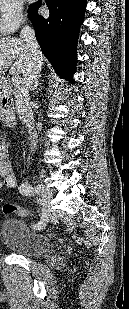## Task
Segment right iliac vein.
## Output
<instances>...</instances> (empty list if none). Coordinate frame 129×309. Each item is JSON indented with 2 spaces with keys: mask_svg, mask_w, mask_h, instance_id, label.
I'll return each mask as SVG.
<instances>
[{
  "mask_svg": "<svg viewBox=\"0 0 129 309\" xmlns=\"http://www.w3.org/2000/svg\"><path fill=\"white\" fill-rule=\"evenodd\" d=\"M36 192L40 195L42 203L44 205V212L46 214L45 221L42 223L39 229H44L47 225L49 218L51 216V209H50V201L52 198V193L49 189H47L44 185L38 184L36 186Z\"/></svg>",
  "mask_w": 129,
  "mask_h": 309,
  "instance_id": "right-iliac-vein-1",
  "label": "right iliac vein"
}]
</instances>
